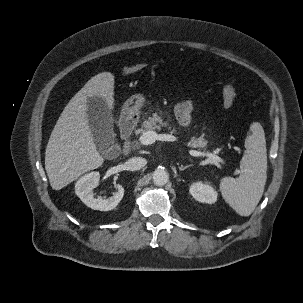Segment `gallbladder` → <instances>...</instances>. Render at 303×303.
<instances>
[{
    "label": "gallbladder",
    "mask_w": 303,
    "mask_h": 303,
    "mask_svg": "<svg viewBox=\"0 0 303 303\" xmlns=\"http://www.w3.org/2000/svg\"><path fill=\"white\" fill-rule=\"evenodd\" d=\"M88 115L94 141L99 149L105 152L108 145L114 141L111 112L105 101L98 97H91L88 99ZM106 143H108L107 146Z\"/></svg>",
    "instance_id": "1"
}]
</instances>
